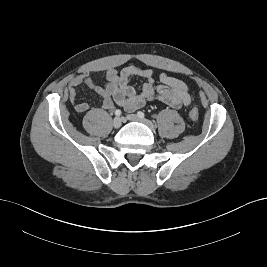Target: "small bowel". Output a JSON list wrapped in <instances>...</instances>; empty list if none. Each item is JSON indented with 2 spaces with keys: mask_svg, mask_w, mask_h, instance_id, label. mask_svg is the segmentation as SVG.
I'll use <instances>...</instances> for the list:
<instances>
[{
  "mask_svg": "<svg viewBox=\"0 0 267 267\" xmlns=\"http://www.w3.org/2000/svg\"><path fill=\"white\" fill-rule=\"evenodd\" d=\"M103 77L105 80L103 86L96 85L89 73L77 75L69 82V100L78 113H86L90 109L87 103L77 102V90L83 84L97 92L101 98V107L109 111L118 105L132 112L155 99L176 109L186 107L191 102L189 90L184 81L162 72L157 82L152 68H143L139 65H128L120 71L111 68L104 73ZM134 77L145 80L140 89L130 85Z\"/></svg>",
  "mask_w": 267,
  "mask_h": 267,
  "instance_id": "c3829d8e",
  "label": "small bowel"
}]
</instances>
